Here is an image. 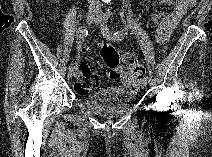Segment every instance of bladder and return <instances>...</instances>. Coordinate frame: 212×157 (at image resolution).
Wrapping results in <instances>:
<instances>
[{
	"instance_id": "1",
	"label": "bladder",
	"mask_w": 212,
	"mask_h": 157,
	"mask_svg": "<svg viewBox=\"0 0 212 157\" xmlns=\"http://www.w3.org/2000/svg\"><path fill=\"white\" fill-rule=\"evenodd\" d=\"M136 100V92L119 86H106L87 93L84 105L90 111L104 116H115L128 111Z\"/></svg>"
}]
</instances>
